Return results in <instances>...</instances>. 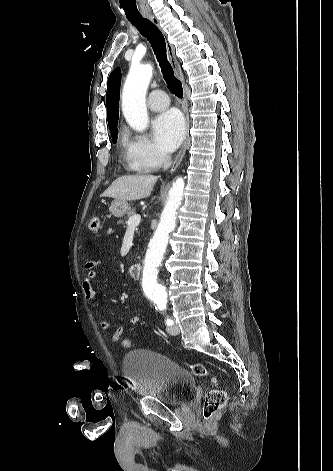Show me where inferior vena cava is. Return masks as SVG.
Here are the masks:
<instances>
[{
	"mask_svg": "<svg viewBox=\"0 0 333 471\" xmlns=\"http://www.w3.org/2000/svg\"><path fill=\"white\" fill-rule=\"evenodd\" d=\"M171 165V157L169 154L164 153L163 154V168L164 170L168 169Z\"/></svg>",
	"mask_w": 333,
	"mask_h": 471,
	"instance_id": "obj_1",
	"label": "inferior vena cava"
}]
</instances>
